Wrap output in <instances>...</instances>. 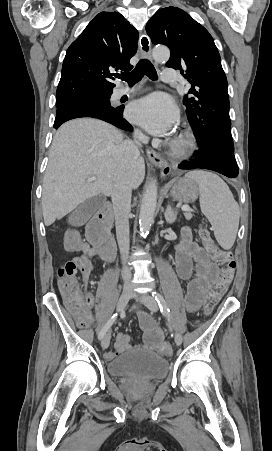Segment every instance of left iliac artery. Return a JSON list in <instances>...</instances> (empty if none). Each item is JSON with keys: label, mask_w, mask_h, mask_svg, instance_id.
Listing matches in <instances>:
<instances>
[{"label": "left iliac artery", "mask_w": 272, "mask_h": 451, "mask_svg": "<svg viewBox=\"0 0 272 451\" xmlns=\"http://www.w3.org/2000/svg\"><path fill=\"white\" fill-rule=\"evenodd\" d=\"M152 296L155 298V300L157 301L160 311L167 316L168 320L170 321V309L165 301V299L163 298V296L154 291L152 292Z\"/></svg>", "instance_id": "left-iliac-artery-1"}]
</instances>
